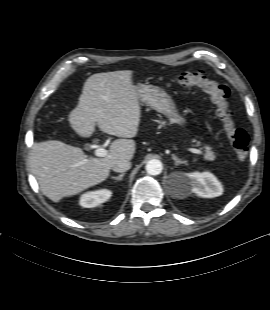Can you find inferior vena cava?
<instances>
[{"label":"inferior vena cava","instance_id":"inferior-vena-cava-1","mask_svg":"<svg viewBox=\"0 0 270 310\" xmlns=\"http://www.w3.org/2000/svg\"><path fill=\"white\" fill-rule=\"evenodd\" d=\"M131 168V162L127 159H119L112 164V170L115 172H125Z\"/></svg>","mask_w":270,"mask_h":310}]
</instances>
